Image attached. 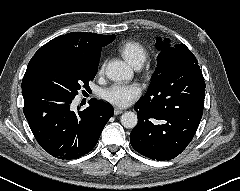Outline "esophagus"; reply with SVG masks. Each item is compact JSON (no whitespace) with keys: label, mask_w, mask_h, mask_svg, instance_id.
<instances>
[{"label":"esophagus","mask_w":240,"mask_h":191,"mask_svg":"<svg viewBox=\"0 0 240 191\" xmlns=\"http://www.w3.org/2000/svg\"><path fill=\"white\" fill-rule=\"evenodd\" d=\"M123 109H121V108H115L114 109V115H119V114H121V113H123Z\"/></svg>","instance_id":"obj_1"}]
</instances>
